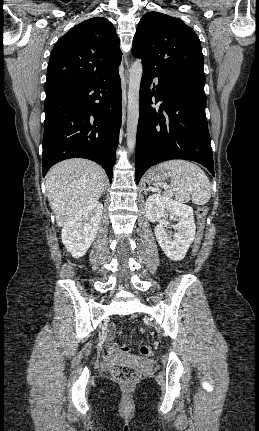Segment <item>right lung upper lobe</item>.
<instances>
[{
  "instance_id": "cb5924a9",
  "label": "right lung upper lobe",
  "mask_w": 259,
  "mask_h": 431,
  "mask_svg": "<svg viewBox=\"0 0 259 431\" xmlns=\"http://www.w3.org/2000/svg\"><path fill=\"white\" fill-rule=\"evenodd\" d=\"M122 52L112 23L88 19L55 44L48 63L45 91L108 78L118 72Z\"/></svg>"
}]
</instances>
